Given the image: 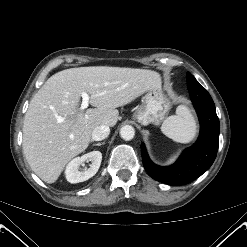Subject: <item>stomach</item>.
<instances>
[{
	"mask_svg": "<svg viewBox=\"0 0 247 247\" xmlns=\"http://www.w3.org/2000/svg\"><path fill=\"white\" fill-rule=\"evenodd\" d=\"M171 108V102L161 88V83L153 86L142 97V103L134 112L132 118L148 125L150 123L158 125L161 123Z\"/></svg>",
	"mask_w": 247,
	"mask_h": 247,
	"instance_id": "stomach-1",
	"label": "stomach"
}]
</instances>
